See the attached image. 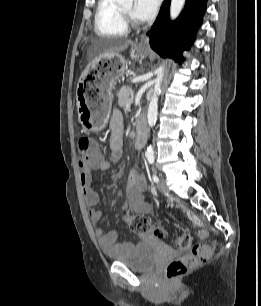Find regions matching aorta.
Segmentation results:
<instances>
[{
  "label": "aorta",
  "mask_w": 261,
  "mask_h": 306,
  "mask_svg": "<svg viewBox=\"0 0 261 306\" xmlns=\"http://www.w3.org/2000/svg\"><path fill=\"white\" fill-rule=\"evenodd\" d=\"M132 1L133 0H117V2L121 5H125V4L132 5ZM184 3H185V0H171V5H170L171 20H174L179 16L184 6ZM156 73H157V77L155 79L153 96L149 103L148 114H147L148 125L151 128L156 124V121H157L158 95L161 89V84H162V80L164 76V66H160L157 69ZM145 154L146 156H153L154 154L153 148L149 146Z\"/></svg>",
  "instance_id": "762f6f07"
}]
</instances>
